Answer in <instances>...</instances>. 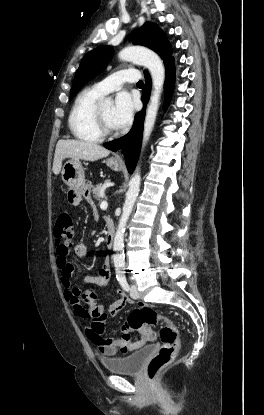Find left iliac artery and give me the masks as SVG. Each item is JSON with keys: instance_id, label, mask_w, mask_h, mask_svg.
<instances>
[{"instance_id": "44dca946", "label": "left iliac artery", "mask_w": 264, "mask_h": 415, "mask_svg": "<svg viewBox=\"0 0 264 415\" xmlns=\"http://www.w3.org/2000/svg\"><path fill=\"white\" fill-rule=\"evenodd\" d=\"M118 281H119V283H120L121 287H122L125 291H129V285H128L127 280H126V278H125L124 276H123V277H120V278L118 279Z\"/></svg>"}]
</instances>
